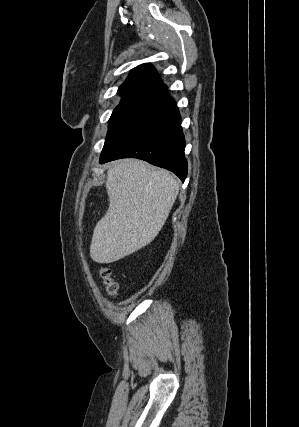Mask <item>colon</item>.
I'll use <instances>...</instances> for the list:
<instances>
[{
  "mask_svg": "<svg viewBox=\"0 0 299 427\" xmlns=\"http://www.w3.org/2000/svg\"><path fill=\"white\" fill-rule=\"evenodd\" d=\"M100 277L104 290L111 296H114L118 292V283L115 280L112 271L108 268H102L100 271Z\"/></svg>",
  "mask_w": 299,
  "mask_h": 427,
  "instance_id": "obj_1",
  "label": "colon"
}]
</instances>
